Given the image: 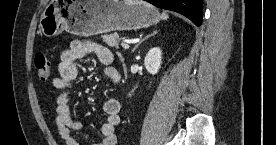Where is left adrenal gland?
I'll use <instances>...</instances> for the list:
<instances>
[{"instance_id":"obj_1","label":"left adrenal gland","mask_w":276,"mask_h":145,"mask_svg":"<svg viewBox=\"0 0 276 145\" xmlns=\"http://www.w3.org/2000/svg\"><path fill=\"white\" fill-rule=\"evenodd\" d=\"M157 33H158V31H157V30H154L150 35H147L146 37H144L141 41H139V42L135 45V47L133 48V52L137 49V47H138L143 41H145L146 39L150 38L151 36L156 35Z\"/></svg>"}]
</instances>
